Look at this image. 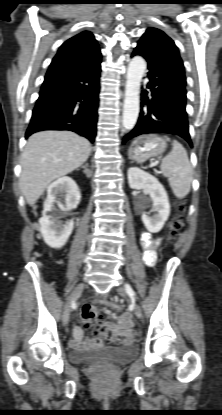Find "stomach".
<instances>
[{"label":"stomach","instance_id":"stomach-1","mask_svg":"<svg viewBox=\"0 0 222 415\" xmlns=\"http://www.w3.org/2000/svg\"><path fill=\"white\" fill-rule=\"evenodd\" d=\"M168 146V138L158 135L140 136L129 148V158L138 163L161 155Z\"/></svg>","mask_w":222,"mask_h":415}]
</instances>
